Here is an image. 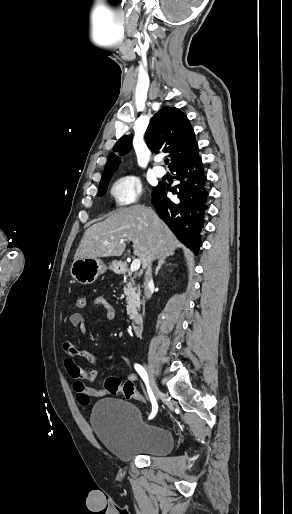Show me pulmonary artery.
<instances>
[{
	"label": "pulmonary artery",
	"mask_w": 292,
	"mask_h": 514,
	"mask_svg": "<svg viewBox=\"0 0 292 514\" xmlns=\"http://www.w3.org/2000/svg\"><path fill=\"white\" fill-rule=\"evenodd\" d=\"M154 174H155V176L161 178V177L164 176V171L163 170H159V169H155L154 170Z\"/></svg>",
	"instance_id": "pulmonary-artery-1"
}]
</instances>
